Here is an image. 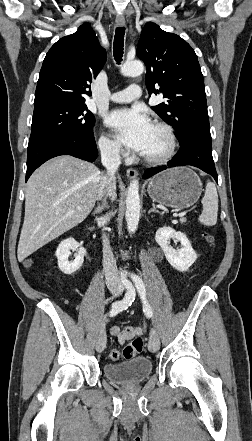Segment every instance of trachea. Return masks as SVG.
Wrapping results in <instances>:
<instances>
[{
    "mask_svg": "<svg viewBox=\"0 0 252 441\" xmlns=\"http://www.w3.org/2000/svg\"><path fill=\"white\" fill-rule=\"evenodd\" d=\"M124 35H125V28L117 27L115 30V37L113 42V53L117 63H120L122 61L123 48H124Z\"/></svg>",
    "mask_w": 252,
    "mask_h": 441,
    "instance_id": "trachea-1",
    "label": "trachea"
}]
</instances>
